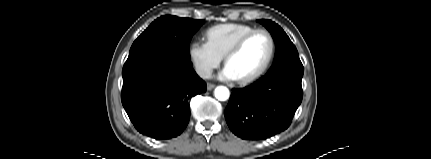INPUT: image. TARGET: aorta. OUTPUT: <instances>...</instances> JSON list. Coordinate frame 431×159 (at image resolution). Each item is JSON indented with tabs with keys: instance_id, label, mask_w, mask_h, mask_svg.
<instances>
[{
	"instance_id": "obj_1",
	"label": "aorta",
	"mask_w": 431,
	"mask_h": 159,
	"mask_svg": "<svg viewBox=\"0 0 431 159\" xmlns=\"http://www.w3.org/2000/svg\"><path fill=\"white\" fill-rule=\"evenodd\" d=\"M214 94H215V97L220 101H226L230 96V92L228 88L225 86L216 87Z\"/></svg>"
}]
</instances>
